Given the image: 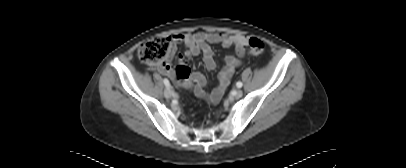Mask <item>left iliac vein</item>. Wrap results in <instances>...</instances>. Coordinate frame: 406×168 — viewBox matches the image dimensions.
Here are the masks:
<instances>
[{"label": "left iliac vein", "instance_id": "obj_1", "mask_svg": "<svg viewBox=\"0 0 406 168\" xmlns=\"http://www.w3.org/2000/svg\"><path fill=\"white\" fill-rule=\"evenodd\" d=\"M242 95H243V91L240 90V89H238V90H236V91L234 92L233 97H234L235 99H239V98L242 97Z\"/></svg>", "mask_w": 406, "mask_h": 168}]
</instances>
